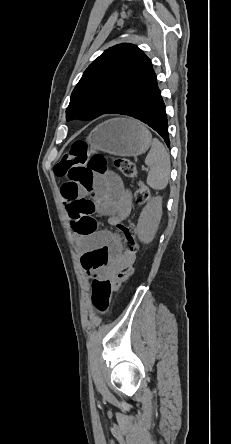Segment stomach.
Here are the masks:
<instances>
[{
  "mask_svg": "<svg viewBox=\"0 0 231 444\" xmlns=\"http://www.w3.org/2000/svg\"><path fill=\"white\" fill-rule=\"evenodd\" d=\"M152 136L140 122L130 118H114L98 125L87 138L93 148L118 156L145 153Z\"/></svg>",
  "mask_w": 231,
  "mask_h": 444,
  "instance_id": "stomach-1",
  "label": "stomach"
}]
</instances>
